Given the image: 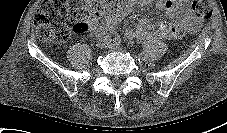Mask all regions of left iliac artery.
Masks as SVG:
<instances>
[{
  "label": "left iliac artery",
  "instance_id": "1",
  "mask_svg": "<svg viewBox=\"0 0 227 133\" xmlns=\"http://www.w3.org/2000/svg\"><path fill=\"white\" fill-rule=\"evenodd\" d=\"M113 43L115 45H121L122 40H121L120 36H115V38L113 39Z\"/></svg>",
  "mask_w": 227,
  "mask_h": 133
}]
</instances>
